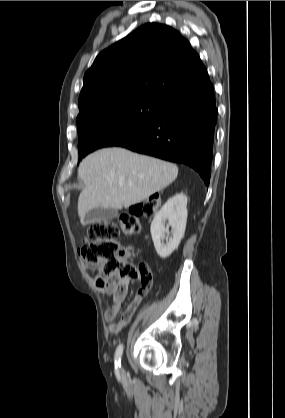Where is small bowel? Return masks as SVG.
<instances>
[{
    "label": "small bowel",
    "instance_id": "c3829d8e",
    "mask_svg": "<svg viewBox=\"0 0 285 418\" xmlns=\"http://www.w3.org/2000/svg\"><path fill=\"white\" fill-rule=\"evenodd\" d=\"M82 266L85 271L90 270L97 274H99L101 270V265L82 264ZM95 278L96 277L94 276H88V281L92 286H96ZM138 280L140 283V288L146 287L149 290V288L152 286L153 278L151 269L150 266L145 262H141L139 265ZM129 283L130 278H121L116 276L107 286V288L103 289L102 291L104 295L110 300V307L104 314L105 320L108 322V329L110 333L120 332L129 323L140 303L136 302L134 298L127 309L123 312L120 321L117 323L113 322V320L122 310V304L126 296Z\"/></svg>",
    "mask_w": 285,
    "mask_h": 418
}]
</instances>
